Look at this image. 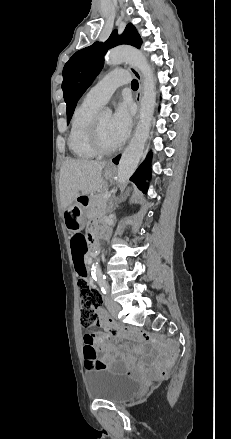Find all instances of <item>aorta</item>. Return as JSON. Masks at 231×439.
I'll use <instances>...</instances> for the list:
<instances>
[{"instance_id": "aorta-1", "label": "aorta", "mask_w": 231, "mask_h": 439, "mask_svg": "<svg viewBox=\"0 0 231 439\" xmlns=\"http://www.w3.org/2000/svg\"><path fill=\"white\" fill-rule=\"evenodd\" d=\"M121 62L133 64L143 76V96L140 103L139 121L134 136L118 165V182L124 183L135 172L150 134L156 105V82L153 69L149 65L146 56L139 50L131 47H117L108 52L106 57L108 65H116ZM107 113L111 114V110L107 109ZM92 271L96 277L102 276L97 262L92 264Z\"/></svg>"}]
</instances>
